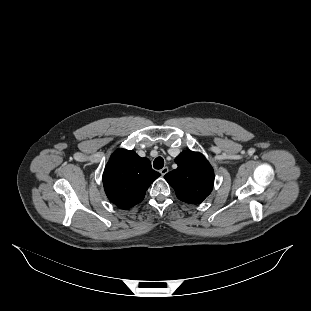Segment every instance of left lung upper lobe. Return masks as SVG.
<instances>
[{
  "instance_id": "left-lung-upper-lobe-1",
  "label": "left lung upper lobe",
  "mask_w": 311,
  "mask_h": 311,
  "mask_svg": "<svg viewBox=\"0 0 311 311\" xmlns=\"http://www.w3.org/2000/svg\"><path fill=\"white\" fill-rule=\"evenodd\" d=\"M175 163L177 169L164 178L174 188L178 199L192 204L201 203L212 191L214 171L206 158L198 152L183 151Z\"/></svg>"
}]
</instances>
